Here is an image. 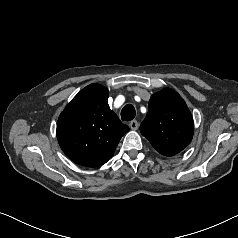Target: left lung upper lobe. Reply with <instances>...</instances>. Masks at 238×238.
Segmentation results:
<instances>
[{
  "instance_id": "5c2ea615",
  "label": "left lung upper lobe",
  "mask_w": 238,
  "mask_h": 238,
  "mask_svg": "<svg viewBox=\"0 0 238 238\" xmlns=\"http://www.w3.org/2000/svg\"><path fill=\"white\" fill-rule=\"evenodd\" d=\"M148 107L140 131L160 154L173 156L189 145L194 132L193 118L177 92L166 88L153 94Z\"/></svg>"
}]
</instances>
